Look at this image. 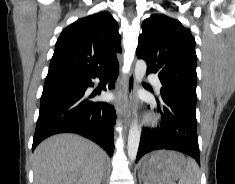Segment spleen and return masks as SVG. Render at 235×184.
<instances>
[{
    "mask_svg": "<svg viewBox=\"0 0 235 184\" xmlns=\"http://www.w3.org/2000/svg\"><path fill=\"white\" fill-rule=\"evenodd\" d=\"M199 168L197 162L188 158L184 174L180 176L178 184H200Z\"/></svg>",
    "mask_w": 235,
    "mask_h": 184,
    "instance_id": "obj_1",
    "label": "spleen"
}]
</instances>
